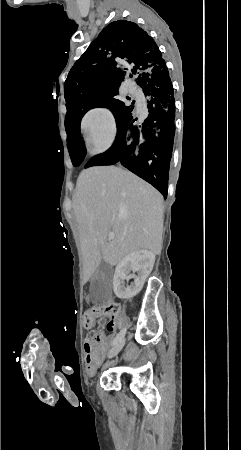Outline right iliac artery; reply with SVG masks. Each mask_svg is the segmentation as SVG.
I'll list each match as a JSON object with an SVG mask.
<instances>
[{
    "label": "right iliac artery",
    "mask_w": 241,
    "mask_h": 450,
    "mask_svg": "<svg viewBox=\"0 0 241 450\" xmlns=\"http://www.w3.org/2000/svg\"><path fill=\"white\" fill-rule=\"evenodd\" d=\"M125 333H126V328H123V329L117 334V336L115 337V339L113 340L112 345H115V344H117L120 340H122V338L124 337Z\"/></svg>",
    "instance_id": "right-iliac-artery-1"
}]
</instances>
